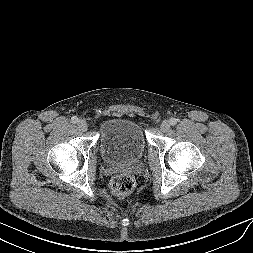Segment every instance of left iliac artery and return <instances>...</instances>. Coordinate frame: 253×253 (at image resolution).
<instances>
[{"label":"left iliac artery","instance_id":"obj_1","mask_svg":"<svg viewBox=\"0 0 253 253\" xmlns=\"http://www.w3.org/2000/svg\"><path fill=\"white\" fill-rule=\"evenodd\" d=\"M169 122H170L171 125H176L177 122H178V120H177L176 118H171V119L169 120Z\"/></svg>","mask_w":253,"mask_h":253}]
</instances>
